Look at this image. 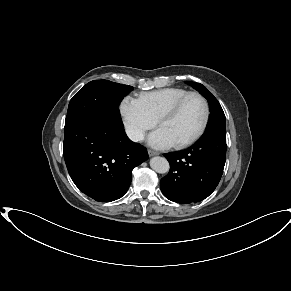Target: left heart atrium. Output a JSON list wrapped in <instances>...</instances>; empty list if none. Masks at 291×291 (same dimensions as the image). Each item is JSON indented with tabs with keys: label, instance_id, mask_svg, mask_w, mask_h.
Returning <instances> with one entry per match:
<instances>
[{
	"label": "left heart atrium",
	"instance_id": "39dd6f15",
	"mask_svg": "<svg viewBox=\"0 0 291 291\" xmlns=\"http://www.w3.org/2000/svg\"><path fill=\"white\" fill-rule=\"evenodd\" d=\"M147 141L150 146L155 148H168L173 145L171 139L160 128L150 134Z\"/></svg>",
	"mask_w": 291,
	"mask_h": 291
}]
</instances>
